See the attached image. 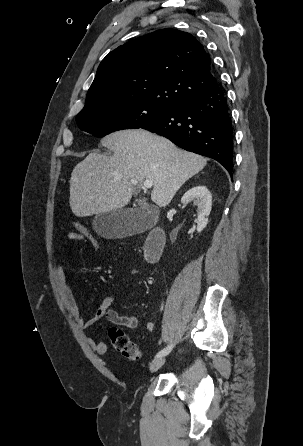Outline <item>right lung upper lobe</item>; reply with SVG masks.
I'll list each match as a JSON object with an SVG mask.
<instances>
[{"instance_id":"cb5924a9","label":"right lung upper lobe","mask_w":303,"mask_h":446,"mask_svg":"<svg viewBox=\"0 0 303 446\" xmlns=\"http://www.w3.org/2000/svg\"><path fill=\"white\" fill-rule=\"evenodd\" d=\"M216 84L210 56L196 38L161 29L119 46L103 59L82 111L134 101L173 107Z\"/></svg>"}]
</instances>
